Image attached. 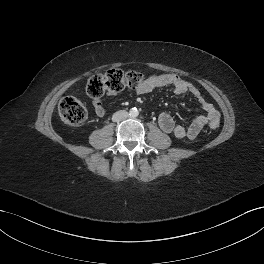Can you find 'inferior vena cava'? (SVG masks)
Masks as SVG:
<instances>
[{"instance_id":"602c4592","label":"inferior vena cava","mask_w":264,"mask_h":264,"mask_svg":"<svg viewBox=\"0 0 264 264\" xmlns=\"http://www.w3.org/2000/svg\"><path fill=\"white\" fill-rule=\"evenodd\" d=\"M128 115H129L128 112L125 110L117 111L116 113L113 114L112 121H114V122L122 121V120L126 119L128 117Z\"/></svg>"}]
</instances>
